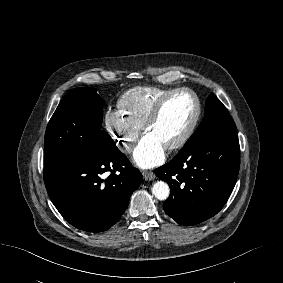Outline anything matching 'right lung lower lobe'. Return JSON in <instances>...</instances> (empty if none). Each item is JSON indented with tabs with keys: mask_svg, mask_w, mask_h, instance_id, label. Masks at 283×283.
Listing matches in <instances>:
<instances>
[{
	"mask_svg": "<svg viewBox=\"0 0 283 283\" xmlns=\"http://www.w3.org/2000/svg\"><path fill=\"white\" fill-rule=\"evenodd\" d=\"M43 174L48 195L60 214L88 232L113 226L142 181L140 171L113 140L44 169Z\"/></svg>",
	"mask_w": 283,
	"mask_h": 283,
	"instance_id": "1",
	"label": "right lung lower lobe"
}]
</instances>
